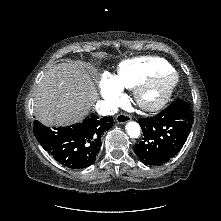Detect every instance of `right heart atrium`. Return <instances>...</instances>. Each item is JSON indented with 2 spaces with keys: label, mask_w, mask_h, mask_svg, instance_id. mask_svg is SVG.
I'll use <instances>...</instances> for the list:
<instances>
[{
  "label": "right heart atrium",
  "mask_w": 221,
  "mask_h": 221,
  "mask_svg": "<svg viewBox=\"0 0 221 221\" xmlns=\"http://www.w3.org/2000/svg\"><path fill=\"white\" fill-rule=\"evenodd\" d=\"M102 97L110 106H116L122 96V88L117 84L114 77L104 74L99 83Z\"/></svg>",
  "instance_id": "obj_1"
}]
</instances>
